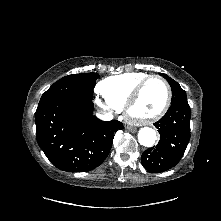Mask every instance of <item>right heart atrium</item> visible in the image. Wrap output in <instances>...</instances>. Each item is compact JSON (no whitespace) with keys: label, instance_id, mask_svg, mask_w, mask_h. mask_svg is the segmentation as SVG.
Here are the masks:
<instances>
[{"label":"right heart atrium","instance_id":"1","mask_svg":"<svg viewBox=\"0 0 221 221\" xmlns=\"http://www.w3.org/2000/svg\"><path fill=\"white\" fill-rule=\"evenodd\" d=\"M94 102L100 109H102L105 112H113V111L119 110L113 105H111L110 103H108L104 98L102 99V98L96 97L94 99Z\"/></svg>","mask_w":221,"mask_h":221}]
</instances>
